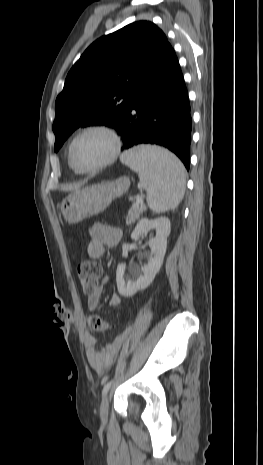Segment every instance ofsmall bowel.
I'll use <instances>...</instances> for the list:
<instances>
[{
    "mask_svg": "<svg viewBox=\"0 0 263 465\" xmlns=\"http://www.w3.org/2000/svg\"><path fill=\"white\" fill-rule=\"evenodd\" d=\"M89 236L88 255L93 259H98L104 255L106 247H113L119 243L121 232L115 227L102 223H94L89 228ZM100 298L101 289L88 296L87 306L90 311L95 312L97 310ZM121 303L122 298L117 294L112 295L109 301L112 307H117ZM125 338L126 334L124 333L116 337L105 347L99 348L97 346V338L92 333L87 332L85 336L86 354L91 367L98 373L105 372L114 363Z\"/></svg>",
    "mask_w": 263,
    "mask_h": 465,
    "instance_id": "1",
    "label": "small bowel"
}]
</instances>
